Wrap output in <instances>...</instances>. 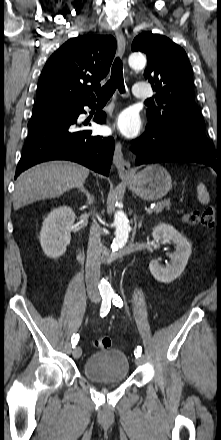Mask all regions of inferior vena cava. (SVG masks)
Returning <instances> with one entry per match:
<instances>
[{"instance_id": "obj_1", "label": "inferior vena cava", "mask_w": 221, "mask_h": 440, "mask_svg": "<svg viewBox=\"0 0 221 440\" xmlns=\"http://www.w3.org/2000/svg\"><path fill=\"white\" fill-rule=\"evenodd\" d=\"M102 249L101 230L92 224L89 234L87 261H86V283L88 290L98 296V285L100 276V252Z\"/></svg>"}]
</instances>
